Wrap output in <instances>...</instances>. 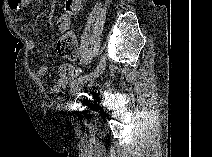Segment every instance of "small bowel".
<instances>
[{"instance_id":"1","label":"small bowel","mask_w":212,"mask_h":157,"mask_svg":"<svg viewBox=\"0 0 212 157\" xmlns=\"http://www.w3.org/2000/svg\"><path fill=\"white\" fill-rule=\"evenodd\" d=\"M8 7L14 11H20L23 9L22 0H8ZM81 7L80 0H66L64 5V13L57 19V29L59 32H65L71 27V20L76 15ZM29 49L33 50L36 48V42L30 40L28 43ZM48 73V65L41 63L35 70V75L39 78L46 76ZM76 69L72 64L64 63L58 69V79L54 86L55 92H60L67 88L68 83L75 77Z\"/></svg>"}]
</instances>
